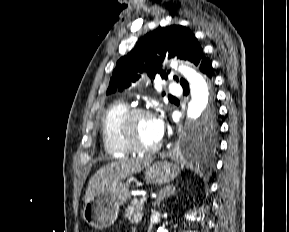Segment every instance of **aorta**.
<instances>
[{
  "label": "aorta",
  "instance_id": "obj_1",
  "mask_svg": "<svg viewBox=\"0 0 289 232\" xmlns=\"http://www.w3.org/2000/svg\"><path fill=\"white\" fill-rule=\"evenodd\" d=\"M171 66L177 69V65L172 62ZM180 73L190 84L191 100L187 108V117L190 120H202L210 117L214 112L210 106L211 90L210 86L200 73L188 66H180ZM167 224L162 223L158 227V232H167Z\"/></svg>",
  "mask_w": 289,
  "mask_h": 232
}]
</instances>
